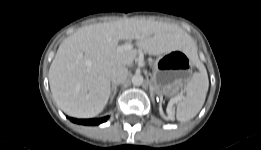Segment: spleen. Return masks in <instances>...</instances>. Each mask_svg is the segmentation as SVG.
I'll return each mask as SVG.
<instances>
[{"instance_id":"obj_1","label":"spleen","mask_w":261,"mask_h":150,"mask_svg":"<svg viewBox=\"0 0 261 150\" xmlns=\"http://www.w3.org/2000/svg\"><path fill=\"white\" fill-rule=\"evenodd\" d=\"M192 53L196 58L195 51H192ZM199 69L200 72L194 73L187 83L185 87L186 95L183 97L178 96L176 98V118L180 122H185L194 118L204 105L209 87V80L206 69L203 66H200Z\"/></svg>"}]
</instances>
